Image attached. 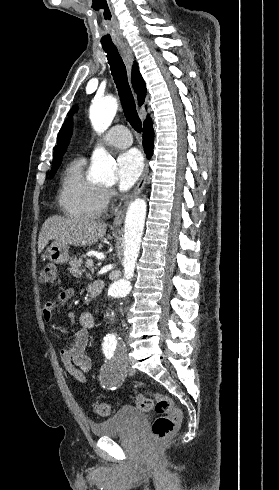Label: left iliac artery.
<instances>
[{
  "instance_id": "1",
  "label": "left iliac artery",
  "mask_w": 279,
  "mask_h": 490,
  "mask_svg": "<svg viewBox=\"0 0 279 490\" xmlns=\"http://www.w3.org/2000/svg\"><path fill=\"white\" fill-rule=\"evenodd\" d=\"M115 347H116V343H114V342L112 343V342H111V343L108 345L107 349H108V350H113V351H114V350H115Z\"/></svg>"
}]
</instances>
